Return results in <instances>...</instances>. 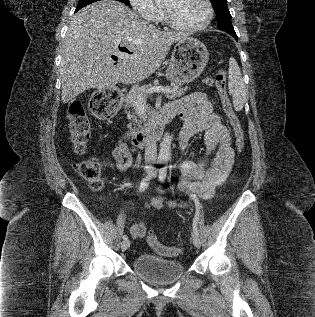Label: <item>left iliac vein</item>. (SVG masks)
<instances>
[{"mask_svg":"<svg viewBox=\"0 0 315 317\" xmlns=\"http://www.w3.org/2000/svg\"><path fill=\"white\" fill-rule=\"evenodd\" d=\"M193 244L196 248H200L201 246V240L199 238V236L197 235H193Z\"/></svg>","mask_w":315,"mask_h":317,"instance_id":"obj_1","label":"left iliac vein"}]
</instances>
